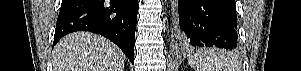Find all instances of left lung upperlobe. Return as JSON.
<instances>
[{
  "label": "left lung upper lobe",
  "instance_id": "obj_1",
  "mask_svg": "<svg viewBox=\"0 0 301 71\" xmlns=\"http://www.w3.org/2000/svg\"><path fill=\"white\" fill-rule=\"evenodd\" d=\"M174 38L176 39V33H175V29H174Z\"/></svg>",
  "mask_w": 301,
  "mask_h": 71
}]
</instances>
